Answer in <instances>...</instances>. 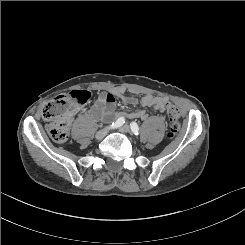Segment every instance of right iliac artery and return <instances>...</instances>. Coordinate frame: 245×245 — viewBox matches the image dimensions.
I'll return each mask as SVG.
<instances>
[{
    "label": "right iliac artery",
    "mask_w": 245,
    "mask_h": 245,
    "mask_svg": "<svg viewBox=\"0 0 245 245\" xmlns=\"http://www.w3.org/2000/svg\"><path fill=\"white\" fill-rule=\"evenodd\" d=\"M124 123H125V118H124V117H120V118H118L115 122H113V123L109 126V128H112V129L118 128V127L122 126Z\"/></svg>",
    "instance_id": "82829eb1"
}]
</instances>
